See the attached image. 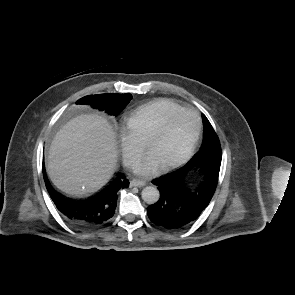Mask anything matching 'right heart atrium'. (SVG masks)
Masks as SVG:
<instances>
[{
    "label": "right heart atrium",
    "mask_w": 295,
    "mask_h": 295,
    "mask_svg": "<svg viewBox=\"0 0 295 295\" xmlns=\"http://www.w3.org/2000/svg\"><path fill=\"white\" fill-rule=\"evenodd\" d=\"M119 142L124 163L133 168L142 155V144L124 127L119 130Z\"/></svg>",
    "instance_id": "d8ad5b80"
}]
</instances>
